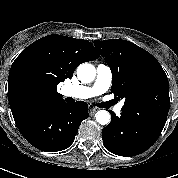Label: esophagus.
Wrapping results in <instances>:
<instances>
[{
  "mask_svg": "<svg viewBox=\"0 0 178 178\" xmlns=\"http://www.w3.org/2000/svg\"><path fill=\"white\" fill-rule=\"evenodd\" d=\"M97 110H98V108H96V107L91 108L90 109V115H94V113H96Z\"/></svg>",
  "mask_w": 178,
  "mask_h": 178,
  "instance_id": "1",
  "label": "esophagus"
}]
</instances>
